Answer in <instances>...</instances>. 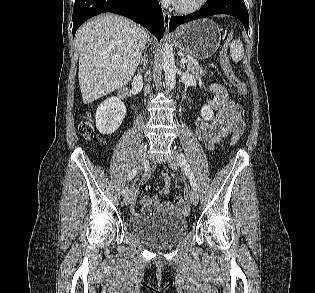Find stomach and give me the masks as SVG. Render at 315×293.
I'll use <instances>...</instances> for the list:
<instances>
[{"instance_id":"obj_1","label":"stomach","mask_w":315,"mask_h":293,"mask_svg":"<svg viewBox=\"0 0 315 293\" xmlns=\"http://www.w3.org/2000/svg\"><path fill=\"white\" fill-rule=\"evenodd\" d=\"M177 47L195 59L210 58L221 42V30L209 19H201L180 26L173 34Z\"/></svg>"}]
</instances>
